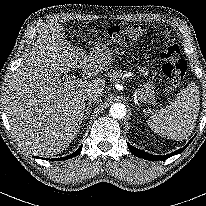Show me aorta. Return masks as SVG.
I'll list each match as a JSON object with an SVG mask.
<instances>
[{"mask_svg": "<svg viewBox=\"0 0 206 206\" xmlns=\"http://www.w3.org/2000/svg\"><path fill=\"white\" fill-rule=\"evenodd\" d=\"M110 115L115 119H122L126 115V107L121 103H115L110 107Z\"/></svg>", "mask_w": 206, "mask_h": 206, "instance_id": "762f6f07", "label": "aorta"}]
</instances>
